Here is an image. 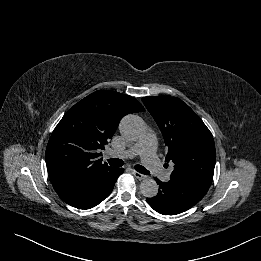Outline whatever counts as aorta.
<instances>
[{"instance_id":"1","label":"aorta","mask_w":261,"mask_h":261,"mask_svg":"<svg viewBox=\"0 0 261 261\" xmlns=\"http://www.w3.org/2000/svg\"><path fill=\"white\" fill-rule=\"evenodd\" d=\"M120 133L129 140H138L145 133L142 119L136 115L125 116L119 125ZM140 192L144 197L152 198L157 195L158 185L152 178H145L140 184Z\"/></svg>"}]
</instances>
